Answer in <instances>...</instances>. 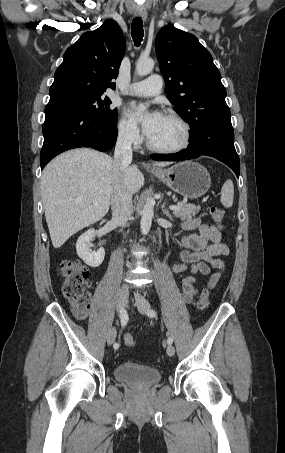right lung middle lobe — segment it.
Instances as JSON below:
<instances>
[{
  "label": "right lung middle lobe",
  "mask_w": 285,
  "mask_h": 453,
  "mask_svg": "<svg viewBox=\"0 0 285 453\" xmlns=\"http://www.w3.org/2000/svg\"><path fill=\"white\" fill-rule=\"evenodd\" d=\"M63 97L75 102L94 119L106 125L113 124L117 121L118 112L110 107L111 100L103 97L102 94L71 92Z\"/></svg>",
  "instance_id": "dd1d6c3e"
}]
</instances>
